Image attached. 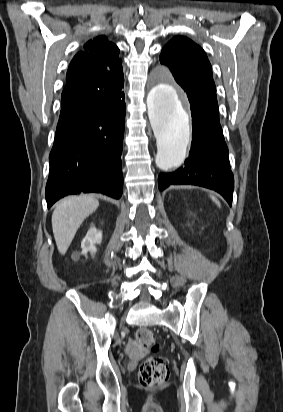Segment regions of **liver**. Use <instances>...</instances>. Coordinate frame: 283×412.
I'll return each instance as SVG.
<instances>
[{
	"label": "liver",
	"mask_w": 283,
	"mask_h": 412,
	"mask_svg": "<svg viewBox=\"0 0 283 412\" xmlns=\"http://www.w3.org/2000/svg\"><path fill=\"white\" fill-rule=\"evenodd\" d=\"M98 206L99 201L88 195L72 196L56 205L52 229L60 254L66 253L80 225Z\"/></svg>",
	"instance_id": "obj_1"
}]
</instances>
